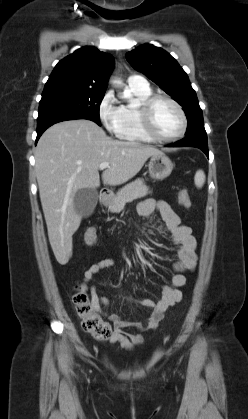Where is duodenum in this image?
<instances>
[{
    "instance_id": "410a0bca",
    "label": "duodenum",
    "mask_w": 248,
    "mask_h": 419,
    "mask_svg": "<svg viewBox=\"0 0 248 419\" xmlns=\"http://www.w3.org/2000/svg\"><path fill=\"white\" fill-rule=\"evenodd\" d=\"M109 198H110L109 191L105 190V189L101 190V192H100V202H101V204L105 205L108 202Z\"/></svg>"
}]
</instances>
